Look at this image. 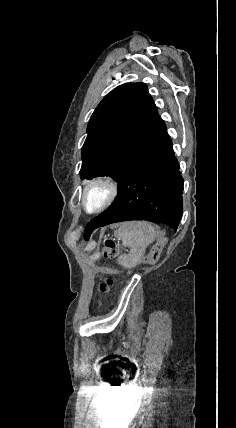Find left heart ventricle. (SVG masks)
Segmentation results:
<instances>
[{
	"label": "left heart ventricle",
	"instance_id": "left-heart-ventricle-1",
	"mask_svg": "<svg viewBox=\"0 0 236 428\" xmlns=\"http://www.w3.org/2000/svg\"><path fill=\"white\" fill-rule=\"evenodd\" d=\"M104 198V191L100 188H96L90 191L88 196V202L90 206H94L102 201Z\"/></svg>",
	"mask_w": 236,
	"mask_h": 428
}]
</instances>
